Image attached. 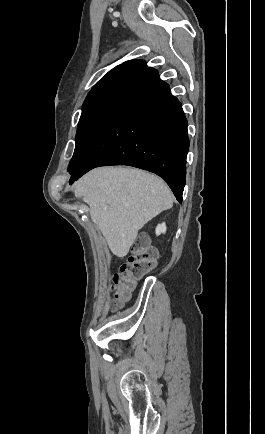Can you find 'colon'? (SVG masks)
<instances>
[{
  "label": "colon",
  "mask_w": 265,
  "mask_h": 434,
  "mask_svg": "<svg viewBox=\"0 0 265 434\" xmlns=\"http://www.w3.org/2000/svg\"><path fill=\"white\" fill-rule=\"evenodd\" d=\"M157 264L156 249L147 244V239L141 235L135 238L128 260L121 265L119 272L113 278L112 291L114 299L112 305L118 308L128 299L136 282L147 275Z\"/></svg>",
  "instance_id": "5ec220e1"
}]
</instances>
